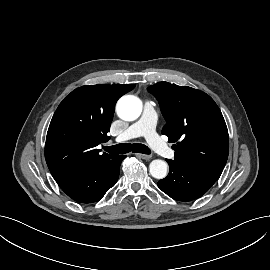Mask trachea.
I'll return each mask as SVG.
<instances>
[{
	"label": "trachea",
	"instance_id": "obj_1",
	"mask_svg": "<svg viewBox=\"0 0 270 270\" xmlns=\"http://www.w3.org/2000/svg\"><path fill=\"white\" fill-rule=\"evenodd\" d=\"M104 150L110 154H125L131 151L133 153H143V154L151 153L150 149L146 145L139 144V143H133V144L122 143V144H117L114 146L104 147Z\"/></svg>",
	"mask_w": 270,
	"mask_h": 270
}]
</instances>
